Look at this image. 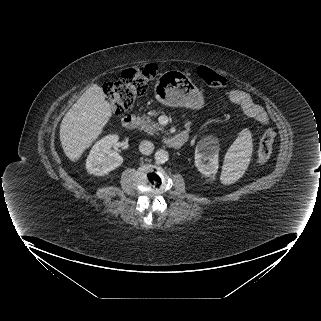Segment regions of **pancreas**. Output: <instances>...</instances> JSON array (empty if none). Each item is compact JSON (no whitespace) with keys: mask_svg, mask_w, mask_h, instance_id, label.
<instances>
[{"mask_svg":"<svg viewBox=\"0 0 321 321\" xmlns=\"http://www.w3.org/2000/svg\"><path fill=\"white\" fill-rule=\"evenodd\" d=\"M157 113L155 111H150L149 116L141 117L140 128L147 132L150 135L159 134V132L164 133L165 130L162 126L151 119V116H156Z\"/></svg>","mask_w":321,"mask_h":321,"instance_id":"cf45deb5","label":"pancreas"}]
</instances>
